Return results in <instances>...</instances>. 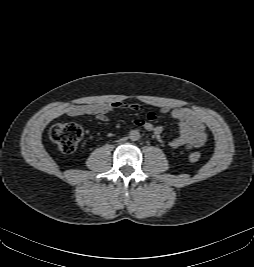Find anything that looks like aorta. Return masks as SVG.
Returning <instances> with one entry per match:
<instances>
[{"label": "aorta", "mask_w": 254, "mask_h": 267, "mask_svg": "<svg viewBox=\"0 0 254 267\" xmlns=\"http://www.w3.org/2000/svg\"><path fill=\"white\" fill-rule=\"evenodd\" d=\"M129 138L132 141H137L140 139V133L138 130H131L129 133Z\"/></svg>", "instance_id": "obj_1"}]
</instances>
